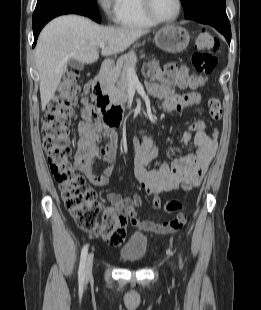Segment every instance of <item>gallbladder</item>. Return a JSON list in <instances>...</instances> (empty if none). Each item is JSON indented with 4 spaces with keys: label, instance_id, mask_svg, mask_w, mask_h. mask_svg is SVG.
Listing matches in <instances>:
<instances>
[{
    "label": "gallbladder",
    "instance_id": "obj_1",
    "mask_svg": "<svg viewBox=\"0 0 261 310\" xmlns=\"http://www.w3.org/2000/svg\"><path fill=\"white\" fill-rule=\"evenodd\" d=\"M69 65L71 67L76 68V69H80V70L83 69V64L81 62L75 60V59H70L69 60Z\"/></svg>",
    "mask_w": 261,
    "mask_h": 310
}]
</instances>
